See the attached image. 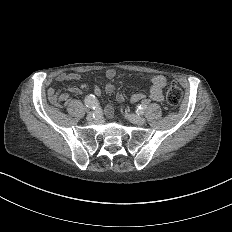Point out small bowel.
<instances>
[{
  "instance_id": "1",
  "label": "small bowel",
  "mask_w": 232,
  "mask_h": 232,
  "mask_svg": "<svg viewBox=\"0 0 232 232\" xmlns=\"http://www.w3.org/2000/svg\"><path fill=\"white\" fill-rule=\"evenodd\" d=\"M117 75V71L114 69H105L102 71V76L106 80H112L115 78ZM79 79V74L75 72H70V73H61L57 76V80L59 82H65V81H70V80H77ZM148 81L152 83V87L149 90V95L154 101L157 102H162L164 100V94L162 91L163 86L166 84V78L164 75L159 74V73H151L148 75ZM61 91V92H71V93H79L81 89L76 86H68V87H63L60 90L56 89L53 86H50L47 88V93L52 95L55 94L56 92ZM94 92L96 95H101V89L99 86H95ZM125 98V93L123 91H120L117 93V99L119 101H123ZM144 98V93L143 92H134L131 96V100L133 103L142 100ZM105 111L109 114H113V106L110 103L105 104L104 106Z\"/></svg>"
}]
</instances>
